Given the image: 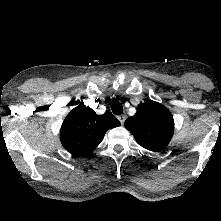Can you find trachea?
<instances>
[{
  "label": "trachea",
  "instance_id": "obj_1",
  "mask_svg": "<svg viewBox=\"0 0 221 221\" xmlns=\"http://www.w3.org/2000/svg\"><path fill=\"white\" fill-rule=\"evenodd\" d=\"M111 110L115 115H120L123 113V106L118 100L114 99L111 102Z\"/></svg>",
  "mask_w": 221,
  "mask_h": 221
}]
</instances>
